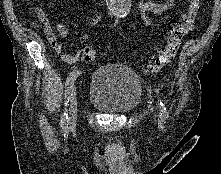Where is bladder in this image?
<instances>
[{
  "instance_id": "1",
  "label": "bladder",
  "mask_w": 221,
  "mask_h": 174,
  "mask_svg": "<svg viewBox=\"0 0 221 174\" xmlns=\"http://www.w3.org/2000/svg\"><path fill=\"white\" fill-rule=\"evenodd\" d=\"M141 97V81L127 66L105 64L97 68L91 77L88 101L103 112H130L139 105Z\"/></svg>"
}]
</instances>
